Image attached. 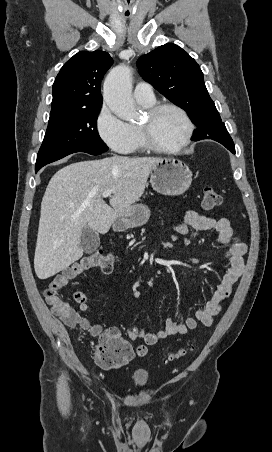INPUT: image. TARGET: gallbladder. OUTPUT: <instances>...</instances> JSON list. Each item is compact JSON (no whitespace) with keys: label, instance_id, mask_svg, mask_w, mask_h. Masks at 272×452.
Listing matches in <instances>:
<instances>
[{"label":"gallbladder","instance_id":"obj_1","mask_svg":"<svg viewBox=\"0 0 272 452\" xmlns=\"http://www.w3.org/2000/svg\"><path fill=\"white\" fill-rule=\"evenodd\" d=\"M100 246L98 234L89 226H85L82 230L80 247L85 253H93Z\"/></svg>","mask_w":272,"mask_h":452}]
</instances>
